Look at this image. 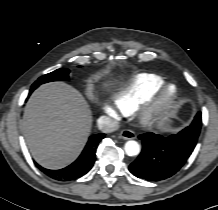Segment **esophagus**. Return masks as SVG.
I'll use <instances>...</instances> for the list:
<instances>
[{"label": "esophagus", "instance_id": "esophagus-1", "mask_svg": "<svg viewBox=\"0 0 218 210\" xmlns=\"http://www.w3.org/2000/svg\"><path fill=\"white\" fill-rule=\"evenodd\" d=\"M119 137L125 140L134 139L136 137L132 130L124 129L120 132Z\"/></svg>", "mask_w": 218, "mask_h": 210}]
</instances>
